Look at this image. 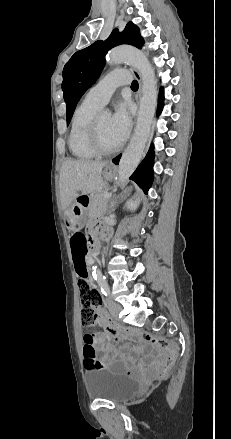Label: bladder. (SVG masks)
<instances>
[{"label": "bladder", "mask_w": 231, "mask_h": 439, "mask_svg": "<svg viewBox=\"0 0 231 439\" xmlns=\"http://www.w3.org/2000/svg\"><path fill=\"white\" fill-rule=\"evenodd\" d=\"M84 379L89 397L113 402H121L137 394L141 386L138 379L111 368H88Z\"/></svg>", "instance_id": "1"}]
</instances>
